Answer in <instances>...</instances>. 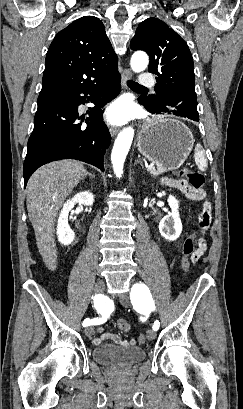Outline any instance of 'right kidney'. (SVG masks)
Instances as JSON below:
<instances>
[{"instance_id": "ca27d5eb", "label": "right kidney", "mask_w": 243, "mask_h": 409, "mask_svg": "<svg viewBox=\"0 0 243 409\" xmlns=\"http://www.w3.org/2000/svg\"><path fill=\"white\" fill-rule=\"evenodd\" d=\"M78 202L86 206H91L94 202V195L89 191L80 192L72 199L67 200V202L63 205V209L59 214L57 225L58 241L62 245L66 246L71 244L75 238V234L68 224V215L73 209L74 205Z\"/></svg>"}]
</instances>
